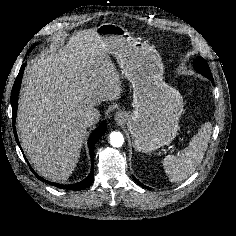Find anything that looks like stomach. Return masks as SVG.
Masks as SVG:
<instances>
[{
    "label": "stomach",
    "mask_w": 236,
    "mask_h": 236,
    "mask_svg": "<svg viewBox=\"0 0 236 236\" xmlns=\"http://www.w3.org/2000/svg\"><path fill=\"white\" fill-rule=\"evenodd\" d=\"M96 32L105 51L119 59L133 88L134 110L121 113L134 148L147 153L169 144L179 130L184 103L179 91L163 80L160 54L118 24L103 23Z\"/></svg>",
    "instance_id": "1"
}]
</instances>
